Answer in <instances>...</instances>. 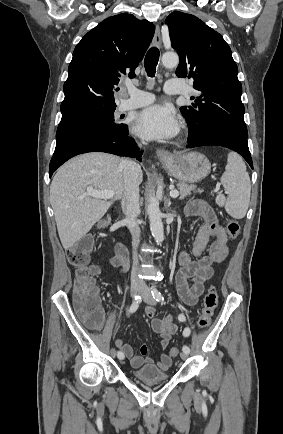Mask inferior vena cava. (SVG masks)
Returning <instances> with one entry per match:
<instances>
[{
    "mask_svg": "<svg viewBox=\"0 0 283 434\" xmlns=\"http://www.w3.org/2000/svg\"><path fill=\"white\" fill-rule=\"evenodd\" d=\"M121 165L123 167L124 177V192L121 206L132 235L133 267L131 271V282L140 283V279L138 278L139 268L136 251L140 242V228L136 223V218L140 214L138 174L141 171V168L139 164L131 160H122Z\"/></svg>",
    "mask_w": 283,
    "mask_h": 434,
    "instance_id": "inferior-vena-cava-1",
    "label": "inferior vena cava"
}]
</instances>
